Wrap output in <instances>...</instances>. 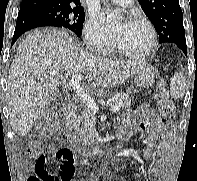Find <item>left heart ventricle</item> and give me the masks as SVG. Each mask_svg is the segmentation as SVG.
Returning a JSON list of instances; mask_svg holds the SVG:
<instances>
[{
  "instance_id": "1",
  "label": "left heart ventricle",
  "mask_w": 197,
  "mask_h": 181,
  "mask_svg": "<svg viewBox=\"0 0 197 181\" xmlns=\"http://www.w3.org/2000/svg\"><path fill=\"white\" fill-rule=\"evenodd\" d=\"M114 31L118 43L128 51L144 52L150 45L151 34L143 24L121 21Z\"/></svg>"
}]
</instances>
